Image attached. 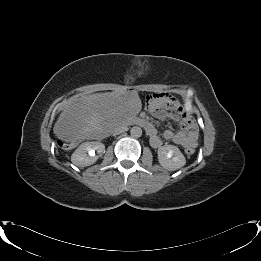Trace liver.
<instances>
[{
    "label": "liver",
    "instance_id": "1",
    "mask_svg": "<svg viewBox=\"0 0 261 261\" xmlns=\"http://www.w3.org/2000/svg\"><path fill=\"white\" fill-rule=\"evenodd\" d=\"M136 91L121 89L79 98L64 110L54 124V134L65 141L101 138L122 127L139 110Z\"/></svg>",
    "mask_w": 261,
    "mask_h": 261
}]
</instances>
